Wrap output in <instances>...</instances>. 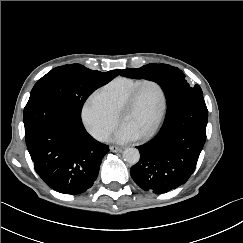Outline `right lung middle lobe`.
Masks as SVG:
<instances>
[{"mask_svg":"<svg viewBox=\"0 0 243 243\" xmlns=\"http://www.w3.org/2000/svg\"><path fill=\"white\" fill-rule=\"evenodd\" d=\"M119 73L120 70L94 71L80 64L56 67L37 81L30 97L43 96L62 101L81 115L89 95Z\"/></svg>","mask_w":243,"mask_h":243,"instance_id":"1","label":"right lung middle lobe"}]
</instances>
